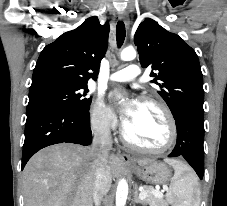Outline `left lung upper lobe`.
Returning <instances> with one entry per match:
<instances>
[{
  "instance_id": "left-lung-upper-lobe-1",
  "label": "left lung upper lobe",
  "mask_w": 227,
  "mask_h": 206,
  "mask_svg": "<svg viewBox=\"0 0 227 206\" xmlns=\"http://www.w3.org/2000/svg\"><path fill=\"white\" fill-rule=\"evenodd\" d=\"M134 43L142 67L158 71L151 72L156 77L151 82L159 87L158 94L174 118L188 107L203 109V76L198 56L190 46L150 18L140 23Z\"/></svg>"
}]
</instances>
